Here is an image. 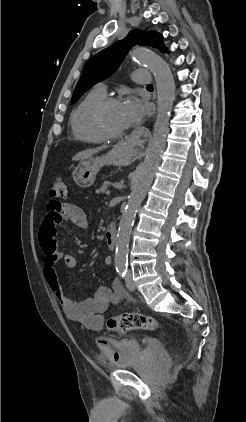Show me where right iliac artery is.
I'll return each instance as SVG.
<instances>
[{"label":"right iliac artery","mask_w":246,"mask_h":422,"mask_svg":"<svg viewBox=\"0 0 246 422\" xmlns=\"http://www.w3.org/2000/svg\"><path fill=\"white\" fill-rule=\"evenodd\" d=\"M126 272H127V270H120V271H118V273H119V275L121 277H124L126 275Z\"/></svg>","instance_id":"1"}]
</instances>
